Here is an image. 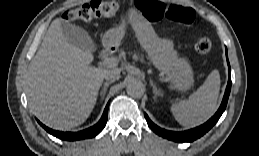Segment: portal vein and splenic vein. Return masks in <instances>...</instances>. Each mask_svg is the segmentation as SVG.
I'll use <instances>...</instances> for the list:
<instances>
[{"label": "portal vein and splenic vein", "instance_id": "obj_1", "mask_svg": "<svg viewBox=\"0 0 259 156\" xmlns=\"http://www.w3.org/2000/svg\"><path fill=\"white\" fill-rule=\"evenodd\" d=\"M104 66L108 67H116L118 65V59L117 58H106L102 62Z\"/></svg>", "mask_w": 259, "mask_h": 156}]
</instances>
